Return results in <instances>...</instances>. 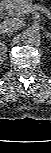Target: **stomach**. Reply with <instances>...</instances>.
I'll list each match as a JSON object with an SVG mask.
<instances>
[{
    "label": "stomach",
    "instance_id": "obj_1",
    "mask_svg": "<svg viewBox=\"0 0 51 153\" xmlns=\"http://www.w3.org/2000/svg\"><path fill=\"white\" fill-rule=\"evenodd\" d=\"M10 2H17V1H19V0H9Z\"/></svg>",
    "mask_w": 51,
    "mask_h": 153
}]
</instances>
